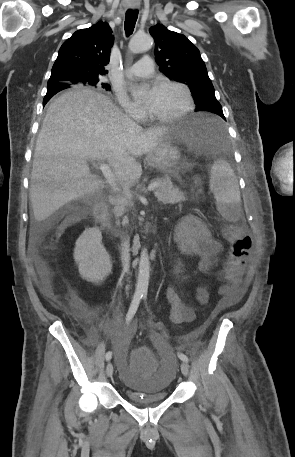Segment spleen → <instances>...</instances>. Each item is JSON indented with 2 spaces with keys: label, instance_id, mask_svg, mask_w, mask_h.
Returning <instances> with one entry per match:
<instances>
[{
  "label": "spleen",
  "instance_id": "obj_1",
  "mask_svg": "<svg viewBox=\"0 0 295 457\" xmlns=\"http://www.w3.org/2000/svg\"><path fill=\"white\" fill-rule=\"evenodd\" d=\"M210 189L217 202V210L226 220H233L241 202L237 178L229 164L221 159L214 162L210 173Z\"/></svg>",
  "mask_w": 295,
  "mask_h": 457
}]
</instances>
